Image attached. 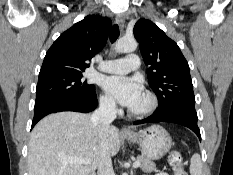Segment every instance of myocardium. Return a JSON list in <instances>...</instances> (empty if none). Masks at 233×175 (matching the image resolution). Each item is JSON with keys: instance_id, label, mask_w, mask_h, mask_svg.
Wrapping results in <instances>:
<instances>
[{"instance_id": "1", "label": "myocardium", "mask_w": 233, "mask_h": 175, "mask_svg": "<svg viewBox=\"0 0 233 175\" xmlns=\"http://www.w3.org/2000/svg\"><path fill=\"white\" fill-rule=\"evenodd\" d=\"M144 98V104L142 107L139 109H131L129 111V114L134 117H144L152 114L157 106H158V100L157 97L151 93V92H146L143 95Z\"/></svg>"}]
</instances>
